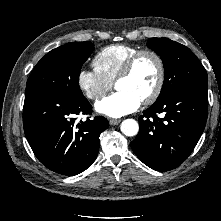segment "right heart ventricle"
<instances>
[{"label":"right heart ventricle","instance_id":"1","mask_svg":"<svg viewBox=\"0 0 221 221\" xmlns=\"http://www.w3.org/2000/svg\"><path fill=\"white\" fill-rule=\"evenodd\" d=\"M141 50L129 44H113L102 48L94 57L95 70L111 83L115 82L127 59Z\"/></svg>","mask_w":221,"mask_h":221}]
</instances>
